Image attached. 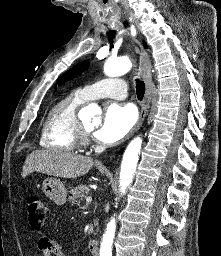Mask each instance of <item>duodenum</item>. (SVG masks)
<instances>
[{
	"label": "duodenum",
	"mask_w": 221,
	"mask_h": 256,
	"mask_svg": "<svg viewBox=\"0 0 221 256\" xmlns=\"http://www.w3.org/2000/svg\"><path fill=\"white\" fill-rule=\"evenodd\" d=\"M88 248H89L90 253H91L93 256H98V252H99V243H98L97 240H95V239L89 240V242H88Z\"/></svg>",
	"instance_id": "duodenum-1"
}]
</instances>
